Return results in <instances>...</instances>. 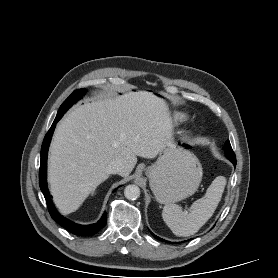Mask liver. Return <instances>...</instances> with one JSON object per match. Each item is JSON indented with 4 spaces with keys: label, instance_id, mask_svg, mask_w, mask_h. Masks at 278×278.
<instances>
[{
    "label": "liver",
    "instance_id": "1",
    "mask_svg": "<svg viewBox=\"0 0 278 278\" xmlns=\"http://www.w3.org/2000/svg\"><path fill=\"white\" fill-rule=\"evenodd\" d=\"M166 102L147 91L85 103L58 124L50 147L48 181L63 214L76 211L108 179V165L119 159L127 177L137 155L155 158L171 139Z\"/></svg>",
    "mask_w": 278,
    "mask_h": 278
}]
</instances>
